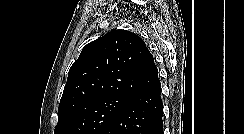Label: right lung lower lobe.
<instances>
[{
	"label": "right lung lower lobe",
	"mask_w": 244,
	"mask_h": 134,
	"mask_svg": "<svg viewBox=\"0 0 244 134\" xmlns=\"http://www.w3.org/2000/svg\"><path fill=\"white\" fill-rule=\"evenodd\" d=\"M161 84L134 95L101 134H162Z\"/></svg>",
	"instance_id": "right-lung-lower-lobe-1"
}]
</instances>
